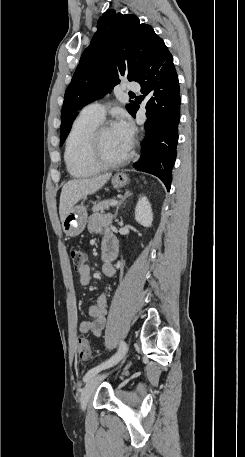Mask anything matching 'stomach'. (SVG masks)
<instances>
[{
    "label": "stomach",
    "mask_w": 245,
    "mask_h": 457,
    "mask_svg": "<svg viewBox=\"0 0 245 457\" xmlns=\"http://www.w3.org/2000/svg\"><path fill=\"white\" fill-rule=\"evenodd\" d=\"M114 188H121L129 182V176L125 172H116L111 180ZM88 218V212L83 204H76L69 210L62 222V229L66 237H77L84 231Z\"/></svg>",
    "instance_id": "0dacf381"
}]
</instances>
